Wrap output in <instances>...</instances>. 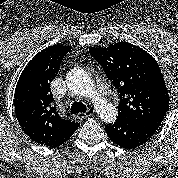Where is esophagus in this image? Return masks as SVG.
Masks as SVG:
<instances>
[{
	"instance_id": "34e87169",
	"label": "esophagus",
	"mask_w": 178,
	"mask_h": 178,
	"mask_svg": "<svg viewBox=\"0 0 178 178\" xmlns=\"http://www.w3.org/2000/svg\"><path fill=\"white\" fill-rule=\"evenodd\" d=\"M94 113H95V110H94L93 108H89L88 111H87V113L85 114V117H88V116H90V115H93ZM77 117H78V118H81V117H83V116H82V114H78Z\"/></svg>"
}]
</instances>
